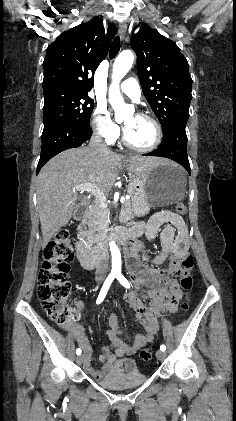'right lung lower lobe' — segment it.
<instances>
[{
	"mask_svg": "<svg viewBox=\"0 0 236 421\" xmlns=\"http://www.w3.org/2000/svg\"><path fill=\"white\" fill-rule=\"evenodd\" d=\"M92 135V130H84L67 123H56L43 130L42 149L37 173L43 165L58 153L82 145Z\"/></svg>",
	"mask_w": 236,
	"mask_h": 421,
	"instance_id": "1",
	"label": "right lung lower lobe"
}]
</instances>
